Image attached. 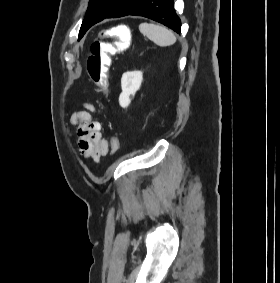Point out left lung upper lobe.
<instances>
[{"mask_svg": "<svg viewBox=\"0 0 280 283\" xmlns=\"http://www.w3.org/2000/svg\"><path fill=\"white\" fill-rule=\"evenodd\" d=\"M145 0H90L85 15V20L81 25L79 39L95 23L105 18H116L128 15Z\"/></svg>", "mask_w": 280, "mask_h": 283, "instance_id": "1", "label": "left lung upper lobe"}]
</instances>
